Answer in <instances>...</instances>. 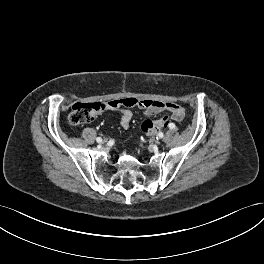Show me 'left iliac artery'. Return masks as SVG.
<instances>
[{
	"instance_id": "44dca946",
	"label": "left iliac artery",
	"mask_w": 264,
	"mask_h": 264,
	"mask_svg": "<svg viewBox=\"0 0 264 264\" xmlns=\"http://www.w3.org/2000/svg\"><path fill=\"white\" fill-rule=\"evenodd\" d=\"M169 128H170V129H174V128H175V124H174V123H170V124H169Z\"/></svg>"
}]
</instances>
